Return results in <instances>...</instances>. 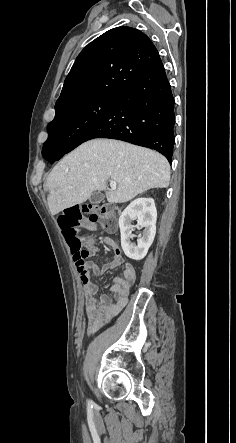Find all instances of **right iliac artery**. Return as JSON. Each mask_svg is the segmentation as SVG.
I'll return each instance as SVG.
<instances>
[{
  "mask_svg": "<svg viewBox=\"0 0 236 443\" xmlns=\"http://www.w3.org/2000/svg\"><path fill=\"white\" fill-rule=\"evenodd\" d=\"M88 405H92V401H88Z\"/></svg>",
  "mask_w": 236,
  "mask_h": 443,
  "instance_id": "right-iliac-artery-1",
  "label": "right iliac artery"
}]
</instances>
